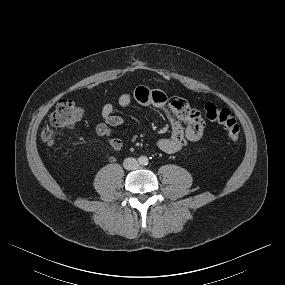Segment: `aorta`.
Listing matches in <instances>:
<instances>
[{
    "mask_svg": "<svg viewBox=\"0 0 285 285\" xmlns=\"http://www.w3.org/2000/svg\"><path fill=\"white\" fill-rule=\"evenodd\" d=\"M140 162H141V164H147L148 163V159L146 157H141L140 158Z\"/></svg>",
    "mask_w": 285,
    "mask_h": 285,
    "instance_id": "aorta-1",
    "label": "aorta"
}]
</instances>
